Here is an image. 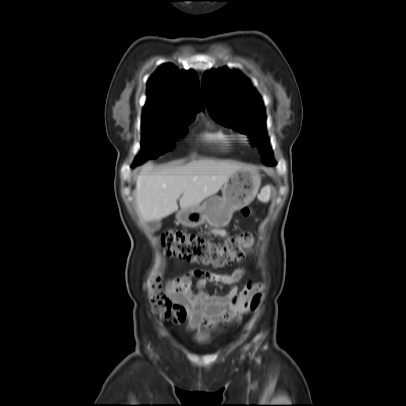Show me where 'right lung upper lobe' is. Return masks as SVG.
Wrapping results in <instances>:
<instances>
[{
	"instance_id": "obj_1",
	"label": "right lung upper lobe",
	"mask_w": 406,
	"mask_h": 406,
	"mask_svg": "<svg viewBox=\"0 0 406 406\" xmlns=\"http://www.w3.org/2000/svg\"><path fill=\"white\" fill-rule=\"evenodd\" d=\"M147 89L143 120L192 121L203 108L199 80L193 70L179 71L164 64L149 78Z\"/></svg>"
}]
</instances>
